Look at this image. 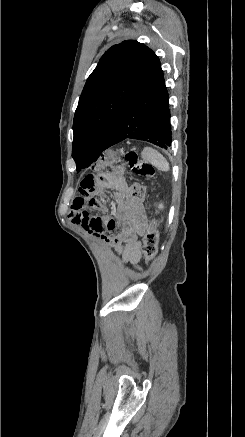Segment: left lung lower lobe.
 <instances>
[{
	"label": "left lung lower lobe",
	"instance_id": "obj_1",
	"mask_svg": "<svg viewBox=\"0 0 245 437\" xmlns=\"http://www.w3.org/2000/svg\"><path fill=\"white\" fill-rule=\"evenodd\" d=\"M127 138L148 141L164 149L171 145L169 95L159 59L122 109L104 150Z\"/></svg>",
	"mask_w": 245,
	"mask_h": 437
}]
</instances>
